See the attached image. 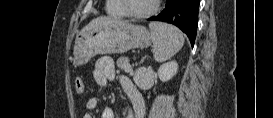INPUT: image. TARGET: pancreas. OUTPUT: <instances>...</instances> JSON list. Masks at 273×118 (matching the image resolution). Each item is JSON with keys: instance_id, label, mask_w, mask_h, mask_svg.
I'll use <instances>...</instances> for the list:
<instances>
[{"instance_id": "cf45deb5", "label": "pancreas", "mask_w": 273, "mask_h": 118, "mask_svg": "<svg viewBox=\"0 0 273 118\" xmlns=\"http://www.w3.org/2000/svg\"><path fill=\"white\" fill-rule=\"evenodd\" d=\"M117 66L123 69L125 72L133 74V69L129 64V60L126 57H120L117 60Z\"/></svg>"}]
</instances>
